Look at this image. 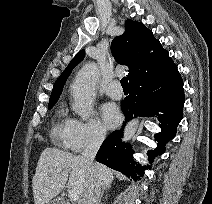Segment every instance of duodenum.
Wrapping results in <instances>:
<instances>
[{"label": "duodenum", "instance_id": "410a0bca", "mask_svg": "<svg viewBox=\"0 0 212 204\" xmlns=\"http://www.w3.org/2000/svg\"><path fill=\"white\" fill-rule=\"evenodd\" d=\"M59 204H67L65 201H60Z\"/></svg>", "mask_w": 212, "mask_h": 204}]
</instances>
